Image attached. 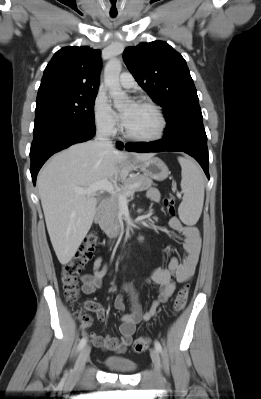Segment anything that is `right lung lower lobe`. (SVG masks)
<instances>
[{
  "label": "right lung lower lobe",
  "mask_w": 261,
  "mask_h": 399,
  "mask_svg": "<svg viewBox=\"0 0 261 399\" xmlns=\"http://www.w3.org/2000/svg\"><path fill=\"white\" fill-rule=\"evenodd\" d=\"M94 134L95 130L85 129L73 121L62 118L36 123L30 149V172L34 185L40 168L50 156L72 144L88 141ZM117 147L122 149L123 145L117 143Z\"/></svg>",
  "instance_id": "obj_1"
}]
</instances>
